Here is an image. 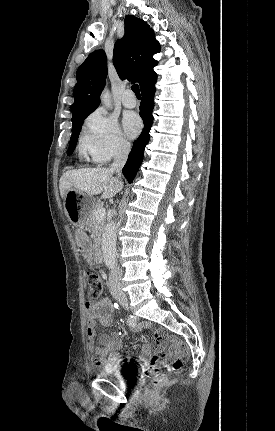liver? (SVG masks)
Here are the masks:
<instances>
[{"instance_id":"liver-1","label":"liver","mask_w":275,"mask_h":431,"mask_svg":"<svg viewBox=\"0 0 275 431\" xmlns=\"http://www.w3.org/2000/svg\"><path fill=\"white\" fill-rule=\"evenodd\" d=\"M123 182L105 168L78 169L66 171L59 181L60 195L64 199L70 189L89 196L102 193V198H112L121 190Z\"/></svg>"}]
</instances>
